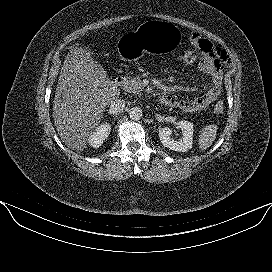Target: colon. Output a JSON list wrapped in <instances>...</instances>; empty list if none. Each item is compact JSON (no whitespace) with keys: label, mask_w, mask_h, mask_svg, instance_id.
Returning a JSON list of instances; mask_svg holds the SVG:
<instances>
[{"label":"colon","mask_w":272,"mask_h":272,"mask_svg":"<svg viewBox=\"0 0 272 272\" xmlns=\"http://www.w3.org/2000/svg\"><path fill=\"white\" fill-rule=\"evenodd\" d=\"M197 56H198V53L195 50L188 49V50L182 51L179 54L178 59L180 62L184 64H191L197 59ZM223 111H224V103L223 101H218L214 106V112L216 114H222Z\"/></svg>","instance_id":"5ec220e1"}]
</instances>
